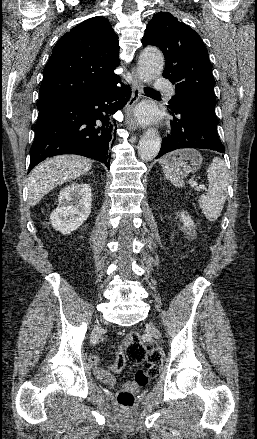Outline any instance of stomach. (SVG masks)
<instances>
[{
    "instance_id": "obj_1",
    "label": "stomach",
    "mask_w": 257,
    "mask_h": 439,
    "mask_svg": "<svg viewBox=\"0 0 257 439\" xmlns=\"http://www.w3.org/2000/svg\"><path fill=\"white\" fill-rule=\"evenodd\" d=\"M166 162L171 173L183 179L200 168L202 156L195 149H179L170 153Z\"/></svg>"
}]
</instances>
